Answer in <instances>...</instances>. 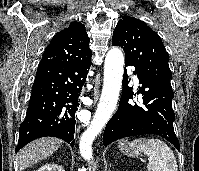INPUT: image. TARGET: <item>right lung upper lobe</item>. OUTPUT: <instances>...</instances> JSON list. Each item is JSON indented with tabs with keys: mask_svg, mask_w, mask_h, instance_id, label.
Segmentation results:
<instances>
[{
	"mask_svg": "<svg viewBox=\"0 0 199 171\" xmlns=\"http://www.w3.org/2000/svg\"><path fill=\"white\" fill-rule=\"evenodd\" d=\"M89 41L85 26L79 22H72L52 38L39 65L86 61L92 56Z\"/></svg>",
	"mask_w": 199,
	"mask_h": 171,
	"instance_id": "1",
	"label": "right lung upper lobe"
}]
</instances>
